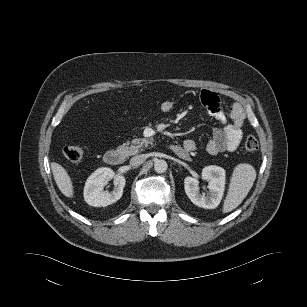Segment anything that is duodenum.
<instances>
[{
    "label": "duodenum",
    "mask_w": 307,
    "mask_h": 307,
    "mask_svg": "<svg viewBox=\"0 0 307 307\" xmlns=\"http://www.w3.org/2000/svg\"><path fill=\"white\" fill-rule=\"evenodd\" d=\"M171 150L174 151V148L171 147ZM104 161L108 165L117 166L123 162V155L120 151L116 149H110L105 152Z\"/></svg>",
    "instance_id": "410a0bca"
}]
</instances>
